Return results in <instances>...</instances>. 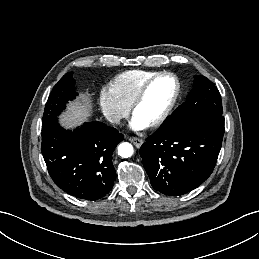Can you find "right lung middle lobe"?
<instances>
[{"label":"right lung middle lobe","mask_w":259,"mask_h":259,"mask_svg":"<svg viewBox=\"0 0 259 259\" xmlns=\"http://www.w3.org/2000/svg\"><path fill=\"white\" fill-rule=\"evenodd\" d=\"M77 95L72 73L65 74L53 87L47 100L42 119V131L47 129L57 119L60 112L65 109L66 103L74 99Z\"/></svg>","instance_id":"1"}]
</instances>
